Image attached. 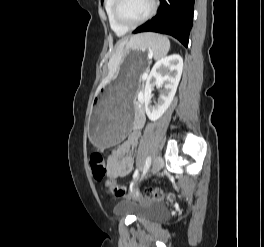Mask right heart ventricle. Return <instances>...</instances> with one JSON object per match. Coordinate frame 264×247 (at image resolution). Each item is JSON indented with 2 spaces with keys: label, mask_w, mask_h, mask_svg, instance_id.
I'll return each mask as SVG.
<instances>
[{
  "label": "right heart ventricle",
  "mask_w": 264,
  "mask_h": 247,
  "mask_svg": "<svg viewBox=\"0 0 264 247\" xmlns=\"http://www.w3.org/2000/svg\"><path fill=\"white\" fill-rule=\"evenodd\" d=\"M115 0H105L104 9L107 15V19L111 29L118 35H124L128 32V29L120 26L114 19L113 16V5Z\"/></svg>",
  "instance_id": "1"
}]
</instances>
